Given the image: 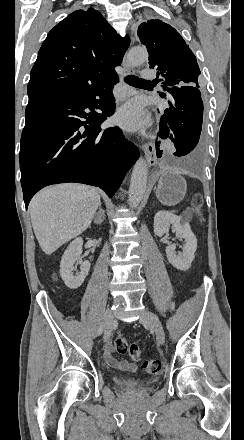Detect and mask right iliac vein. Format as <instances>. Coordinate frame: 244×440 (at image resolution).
I'll return each instance as SVG.
<instances>
[{"label":"right iliac vein","mask_w":244,"mask_h":440,"mask_svg":"<svg viewBox=\"0 0 244 440\" xmlns=\"http://www.w3.org/2000/svg\"><path fill=\"white\" fill-rule=\"evenodd\" d=\"M104 322H105V331L103 341L106 342L110 339L112 330H113V315L111 309H107L104 313Z\"/></svg>","instance_id":"obj_1"}]
</instances>
